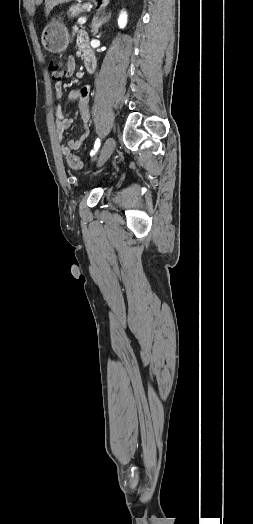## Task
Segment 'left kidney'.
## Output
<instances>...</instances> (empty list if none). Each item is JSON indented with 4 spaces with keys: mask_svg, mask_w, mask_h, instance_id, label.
<instances>
[{
    "mask_svg": "<svg viewBox=\"0 0 253 524\" xmlns=\"http://www.w3.org/2000/svg\"><path fill=\"white\" fill-rule=\"evenodd\" d=\"M127 24V12L121 11L119 18H118V25L120 28H124Z\"/></svg>",
    "mask_w": 253,
    "mask_h": 524,
    "instance_id": "obj_1",
    "label": "left kidney"
}]
</instances>
